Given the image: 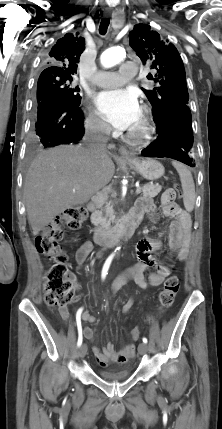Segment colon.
Instances as JSON below:
<instances>
[{
    "label": "colon",
    "instance_id": "1",
    "mask_svg": "<svg viewBox=\"0 0 222 429\" xmlns=\"http://www.w3.org/2000/svg\"><path fill=\"white\" fill-rule=\"evenodd\" d=\"M179 187L168 188L163 193L164 203H173L180 197ZM87 218V211L83 207H73L65 210L58 218L45 227L35 239L38 251L47 255L54 263L49 268L44 284L45 302L49 306L66 307L74 294V282L66 266V255L58 242L62 238L63 228L78 229ZM180 288L179 278L175 275L168 277L158 296V309L163 311L172 306ZM138 327L131 331L132 340L140 337Z\"/></svg>",
    "mask_w": 222,
    "mask_h": 429
}]
</instances>
